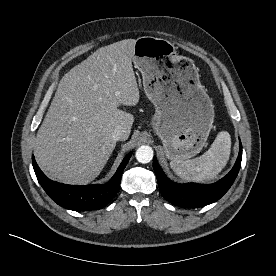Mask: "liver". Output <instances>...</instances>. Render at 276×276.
<instances>
[{
	"mask_svg": "<svg viewBox=\"0 0 276 276\" xmlns=\"http://www.w3.org/2000/svg\"><path fill=\"white\" fill-rule=\"evenodd\" d=\"M135 42L125 39L99 48L60 80L35 144L36 161L48 177L88 184L116 146L115 128H123L124 140L129 137L134 117L118 106L139 102L132 67Z\"/></svg>",
	"mask_w": 276,
	"mask_h": 276,
	"instance_id": "obj_1",
	"label": "liver"
}]
</instances>
